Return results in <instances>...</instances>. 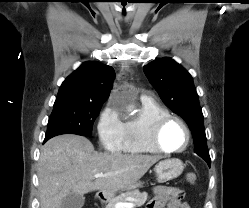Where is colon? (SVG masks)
<instances>
[{"mask_svg":"<svg viewBox=\"0 0 249 208\" xmlns=\"http://www.w3.org/2000/svg\"><path fill=\"white\" fill-rule=\"evenodd\" d=\"M186 180L190 184H194L196 181V175L194 173H189L186 175Z\"/></svg>","mask_w":249,"mask_h":208,"instance_id":"obj_1","label":"colon"}]
</instances>
